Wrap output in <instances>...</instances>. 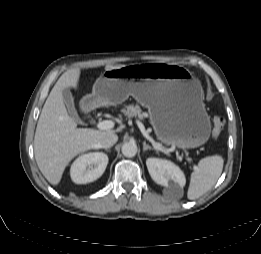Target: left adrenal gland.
Returning <instances> with one entry per match:
<instances>
[{
    "label": "left adrenal gland",
    "instance_id": "left-adrenal-gland-1",
    "mask_svg": "<svg viewBox=\"0 0 261 254\" xmlns=\"http://www.w3.org/2000/svg\"><path fill=\"white\" fill-rule=\"evenodd\" d=\"M147 150H154V148H152L151 146H149L148 144H146V142H143V151H147Z\"/></svg>",
    "mask_w": 261,
    "mask_h": 254
}]
</instances>
